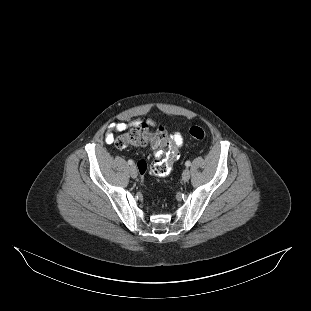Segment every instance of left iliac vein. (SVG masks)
Masks as SVG:
<instances>
[{
	"label": "left iliac vein",
	"instance_id": "4c4485c4",
	"mask_svg": "<svg viewBox=\"0 0 311 311\" xmlns=\"http://www.w3.org/2000/svg\"><path fill=\"white\" fill-rule=\"evenodd\" d=\"M190 175H191L190 170L189 169H185L183 171V173H182V180L184 182H187L190 179Z\"/></svg>",
	"mask_w": 311,
	"mask_h": 311
}]
</instances>
